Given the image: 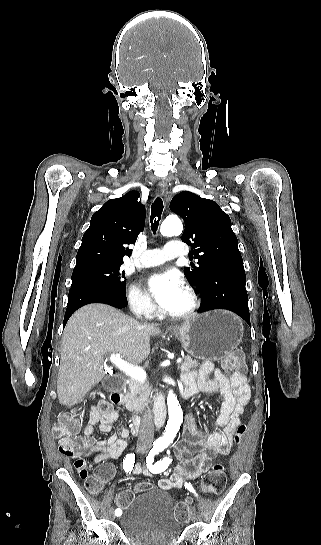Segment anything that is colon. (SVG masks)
<instances>
[{
    "label": "colon",
    "instance_id": "1",
    "mask_svg": "<svg viewBox=\"0 0 321 545\" xmlns=\"http://www.w3.org/2000/svg\"><path fill=\"white\" fill-rule=\"evenodd\" d=\"M224 371L233 378H241L244 376L245 365L241 357L237 355L230 356L223 361ZM84 412L81 408H72L59 414L57 421L53 427V434L58 438L59 450L62 454L71 456L77 449L79 442V431ZM245 426L239 424L234 430V439L238 443L245 432ZM75 467L80 477L85 481V487L91 494H98L103 486L101 475L88 474L86 465L83 461L75 462ZM226 485V473L221 464H216L205 475L202 480V490L209 495H219L224 490ZM153 488L150 483L143 482L137 485L136 491L142 492ZM134 498L132 491H123L115 499V503L119 510L129 506ZM189 501H180L175 507V517L180 522H185L189 518Z\"/></svg>",
    "mask_w": 321,
    "mask_h": 545
}]
</instances>
